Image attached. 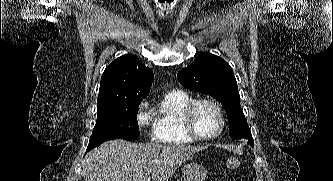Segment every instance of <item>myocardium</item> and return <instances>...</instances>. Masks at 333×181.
Masks as SVG:
<instances>
[{"instance_id":"myocardium-1","label":"myocardium","mask_w":333,"mask_h":181,"mask_svg":"<svg viewBox=\"0 0 333 181\" xmlns=\"http://www.w3.org/2000/svg\"><path fill=\"white\" fill-rule=\"evenodd\" d=\"M200 104H208V105L212 106L218 113V116L220 119V126H219L218 131L212 136H202L197 132V130L195 128L194 115ZM183 125H184V129H185L186 133L194 140L211 141V140L218 138L222 134V132L225 128V115H224V112H223L221 106L215 100H213L211 98L193 99L187 105V107L185 108V110L183 112Z\"/></svg>"}]
</instances>
